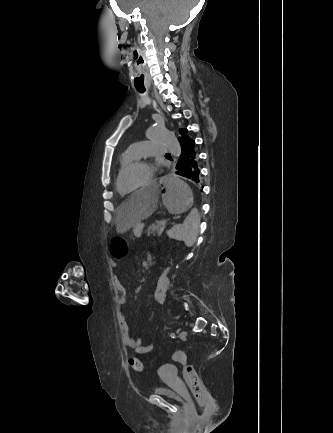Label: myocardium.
I'll return each instance as SVG.
<instances>
[{
	"instance_id": "obj_1",
	"label": "myocardium",
	"mask_w": 333,
	"mask_h": 433,
	"mask_svg": "<svg viewBox=\"0 0 333 433\" xmlns=\"http://www.w3.org/2000/svg\"><path fill=\"white\" fill-rule=\"evenodd\" d=\"M141 165H150V164L145 159H135L134 161H132L131 163H129L127 166H125L123 168V170L121 171V173L118 177V180H117V188L121 194H124V195L134 194V193L138 192L140 189L146 188L149 185H151V178H148L147 181H145L143 184H141L139 187H137L133 190H124L123 189L122 180H123L124 176L126 175V173L129 172L130 170H132L133 168H135L137 166H141Z\"/></svg>"
}]
</instances>
